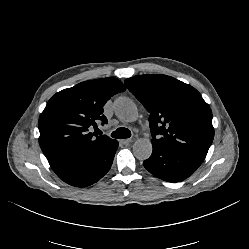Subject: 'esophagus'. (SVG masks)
I'll use <instances>...</instances> for the list:
<instances>
[{
    "label": "esophagus",
    "instance_id": "esophagus-1",
    "mask_svg": "<svg viewBox=\"0 0 249 249\" xmlns=\"http://www.w3.org/2000/svg\"><path fill=\"white\" fill-rule=\"evenodd\" d=\"M131 142H132V139H123V140H121V143H122L123 145L129 144V143H131Z\"/></svg>",
    "mask_w": 249,
    "mask_h": 249
}]
</instances>
